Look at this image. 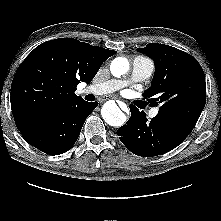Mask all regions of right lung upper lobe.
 I'll use <instances>...</instances> for the list:
<instances>
[{
    "label": "right lung upper lobe",
    "instance_id": "1",
    "mask_svg": "<svg viewBox=\"0 0 221 221\" xmlns=\"http://www.w3.org/2000/svg\"><path fill=\"white\" fill-rule=\"evenodd\" d=\"M115 53L73 38L37 46L21 63L11 85V108L18 130L82 101L74 94L76 86L90 83L102 63Z\"/></svg>",
    "mask_w": 221,
    "mask_h": 221
}]
</instances>
